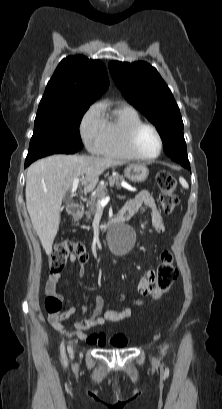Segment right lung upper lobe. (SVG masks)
I'll return each mask as SVG.
<instances>
[{
	"label": "right lung upper lobe",
	"instance_id": "right-lung-upper-lobe-1",
	"mask_svg": "<svg viewBox=\"0 0 222 409\" xmlns=\"http://www.w3.org/2000/svg\"><path fill=\"white\" fill-rule=\"evenodd\" d=\"M109 86L104 64L82 55L63 59L48 82L38 109L91 105Z\"/></svg>",
	"mask_w": 222,
	"mask_h": 409
}]
</instances>
